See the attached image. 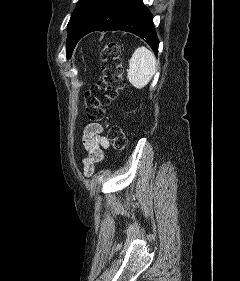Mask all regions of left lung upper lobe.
<instances>
[{
  "instance_id": "left-lung-upper-lobe-1",
  "label": "left lung upper lobe",
  "mask_w": 240,
  "mask_h": 281,
  "mask_svg": "<svg viewBox=\"0 0 240 281\" xmlns=\"http://www.w3.org/2000/svg\"><path fill=\"white\" fill-rule=\"evenodd\" d=\"M103 0H79L68 23L66 45L67 57H70L77 44L78 36L93 12Z\"/></svg>"
}]
</instances>
